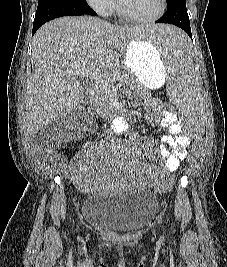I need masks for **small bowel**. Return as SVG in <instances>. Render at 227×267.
<instances>
[{
  "label": "small bowel",
  "mask_w": 227,
  "mask_h": 267,
  "mask_svg": "<svg viewBox=\"0 0 227 267\" xmlns=\"http://www.w3.org/2000/svg\"><path fill=\"white\" fill-rule=\"evenodd\" d=\"M146 118L152 124H157L166 129V134L161 137V144L157 145L152 140H141L154 153L155 160L163 169H175L177 162L186 155L185 149L190 145V137H184L182 125L177 119L176 113H166L159 100L151 98L146 102ZM129 128V122L125 117H116L111 123V129L118 135H125ZM93 164V163H92ZM60 170L79 186L85 185L91 179L89 166L80 161L69 162L60 160Z\"/></svg>",
  "instance_id": "obj_1"
}]
</instances>
